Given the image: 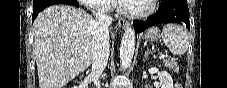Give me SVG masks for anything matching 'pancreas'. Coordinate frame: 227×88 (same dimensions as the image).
Returning a JSON list of instances; mask_svg holds the SVG:
<instances>
[{"label":"pancreas","mask_w":227,"mask_h":88,"mask_svg":"<svg viewBox=\"0 0 227 88\" xmlns=\"http://www.w3.org/2000/svg\"><path fill=\"white\" fill-rule=\"evenodd\" d=\"M163 64L169 70H172L174 72H178L179 71V68L177 67V62L174 59L163 60Z\"/></svg>","instance_id":"cf45deb5"}]
</instances>
